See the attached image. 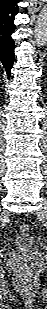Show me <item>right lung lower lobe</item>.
Here are the masks:
<instances>
[{
    "instance_id": "obj_1",
    "label": "right lung lower lobe",
    "mask_w": 47,
    "mask_h": 309,
    "mask_svg": "<svg viewBox=\"0 0 47 309\" xmlns=\"http://www.w3.org/2000/svg\"><path fill=\"white\" fill-rule=\"evenodd\" d=\"M20 0H0V62L4 65L8 78L15 58V43L11 35L15 31L14 17L19 12Z\"/></svg>"
}]
</instances>
